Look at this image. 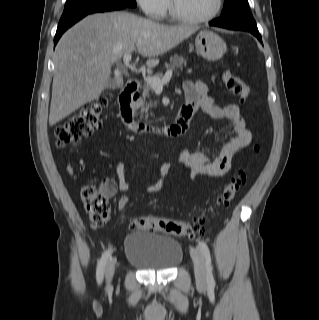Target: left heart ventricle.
I'll return each instance as SVG.
<instances>
[{
	"mask_svg": "<svg viewBox=\"0 0 319 320\" xmlns=\"http://www.w3.org/2000/svg\"><path fill=\"white\" fill-rule=\"evenodd\" d=\"M176 9L188 17H204L212 13L216 0H173Z\"/></svg>",
	"mask_w": 319,
	"mask_h": 320,
	"instance_id": "obj_1",
	"label": "left heart ventricle"
}]
</instances>
